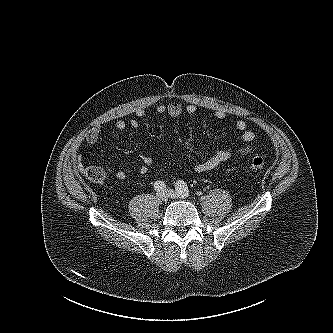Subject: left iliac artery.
<instances>
[{
	"label": "left iliac artery",
	"mask_w": 333,
	"mask_h": 333,
	"mask_svg": "<svg viewBox=\"0 0 333 333\" xmlns=\"http://www.w3.org/2000/svg\"><path fill=\"white\" fill-rule=\"evenodd\" d=\"M175 189L181 197L184 198V197L189 196V189H188L187 184L184 181H182V180L177 181V183L175 185Z\"/></svg>",
	"instance_id": "left-iliac-artery-1"
}]
</instances>
